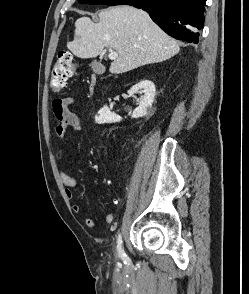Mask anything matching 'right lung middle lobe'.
<instances>
[{"mask_svg":"<svg viewBox=\"0 0 249 294\" xmlns=\"http://www.w3.org/2000/svg\"><path fill=\"white\" fill-rule=\"evenodd\" d=\"M80 3L85 4H106L109 6H115L120 3L121 0H78Z\"/></svg>","mask_w":249,"mask_h":294,"instance_id":"right-lung-middle-lobe-1","label":"right lung middle lobe"}]
</instances>
